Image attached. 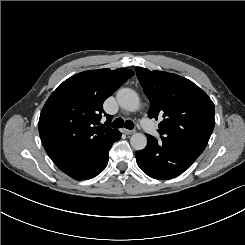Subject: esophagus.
Segmentation results:
<instances>
[{"instance_id":"34e87169","label":"esophagus","mask_w":245,"mask_h":245,"mask_svg":"<svg viewBox=\"0 0 245 245\" xmlns=\"http://www.w3.org/2000/svg\"><path fill=\"white\" fill-rule=\"evenodd\" d=\"M122 131H123V133L128 134V135L136 132V130H128V129H122Z\"/></svg>"}]
</instances>
